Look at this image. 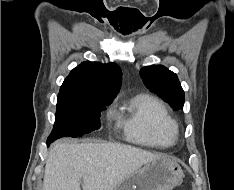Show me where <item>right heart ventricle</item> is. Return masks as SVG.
Returning a JSON list of instances; mask_svg holds the SVG:
<instances>
[{"label":"right heart ventricle","instance_id":"obj_1","mask_svg":"<svg viewBox=\"0 0 234 190\" xmlns=\"http://www.w3.org/2000/svg\"><path fill=\"white\" fill-rule=\"evenodd\" d=\"M117 126L126 140L159 148L175 142L177 124L165 105L156 97L141 94L114 111Z\"/></svg>","mask_w":234,"mask_h":190}]
</instances>
